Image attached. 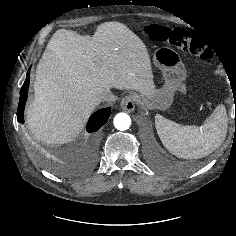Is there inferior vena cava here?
Masks as SVG:
<instances>
[{
  "mask_svg": "<svg viewBox=\"0 0 236 236\" xmlns=\"http://www.w3.org/2000/svg\"><path fill=\"white\" fill-rule=\"evenodd\" d=\"M101 100L106 102H113L117 100V96H115L112 92L108 91L101 95Z\"/></svg>",
  "mask_w": 236,
  "mask_h": 236,
  "instance_id": "inferior-vena-cava-1",
  "label": "inferior vena cava"
}]
</instances>
